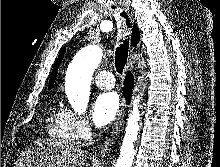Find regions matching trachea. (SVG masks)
<instances>
[{"label": "trachea", "instance_id": "1", "mask_svg": "<svg viewBox=\"0 0 220 167\" xmlns=\"http://www.w3.org/2000/svg\"><path fill=\"white\" fill-rule=\"evenodd\" d=\"M121 16H123V18L126 20V25L129 27V19L126 13L122 12ZM120 41L121 44L116 48L115 52V68L117 72L121 74L125 64L127 63L129 41L127 39L123 40V38Z\"/></svg>", "mask_w": 220, "mask_h": 167}]
</instances>
